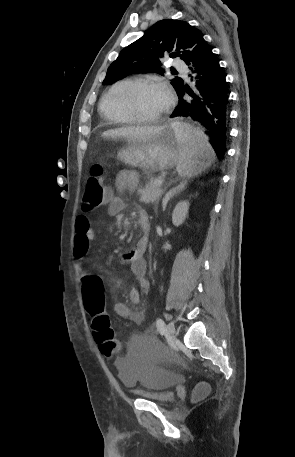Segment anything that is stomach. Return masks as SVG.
<instances>
[{"instance_id":"stomach-1","label":"stomach","mask_w":295,"mask_h":457,"mask_svg":"<svg viewBox=\"0 0 295 457\" xmlns=\"http://www.w3.org/2000/svg\"><path fill=\"white\" fill-rule=\"evenodd\" d=\"M179 158L176 132L170 124L164 125L159 133L146 141H127L117 151V159L146 172L171 168ZM212 161V158H207L205 164L210 165Z\"/></svg>"}]
</instances>
